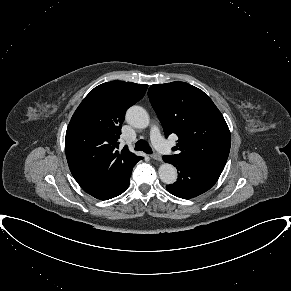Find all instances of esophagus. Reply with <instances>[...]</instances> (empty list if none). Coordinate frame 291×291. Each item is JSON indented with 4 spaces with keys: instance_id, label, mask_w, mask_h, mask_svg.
<instances>
[{
    "instance_id": "1",
    "label": "esophagus",
    "mask_w": 291,
    "mask_h": 291,
    "mask_svg": "<svg viewBox=\"0 0 291 291\" xmlns=\"http://www.w3.org/2000/svg\"><path fill=\"white\" fill-rule=\"evenodd\" d=\"M151 158L154 159V160H157V161H162V157H161V155L158 154V153H153V154L151 155Z\"/></svg>"
}]
</instances>
